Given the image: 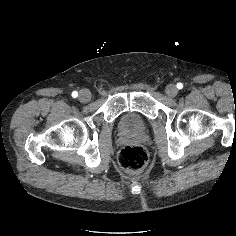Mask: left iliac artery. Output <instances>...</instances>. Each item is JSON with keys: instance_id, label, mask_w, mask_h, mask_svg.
Here are the masks:
<instances>
[{"instance_id": "left-iliac-artery-1", "label": "left iliac artery", "mask_w": 236, "mask_h": 236, "mask_svg": "<svg viewBox=\"0 0 236 236\" xmlns=\"http://www.w3.org/2000/svg\"><path fill=\"white\" fill-rule=\"evenodd\" d=\"M177 88H178V89H182V88H183V84H182V83H180V82H179V83H177Z\"/></svg>"}]
</instances>
